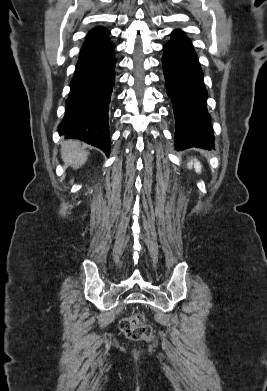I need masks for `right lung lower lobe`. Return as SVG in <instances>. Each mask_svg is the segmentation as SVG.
I'll return each instance as SVG.
<instances>
[{"instance_id": "1", "label": "right lung lower lobe", "mask_w": 267, "mask_h": 391, "mask_svg": "<svg viewBox=\"0 0 267 391\" xmlns=\"http://www.w3.org/2000/svg\"><path fill=\"white\" fill-rule=\"evenodd\" d=\"M115 63L113 43L79 56L65 116L58 126L60 135L96 146L107 155L110 149L108 111Z\"/></svg>"}]
</instances>
